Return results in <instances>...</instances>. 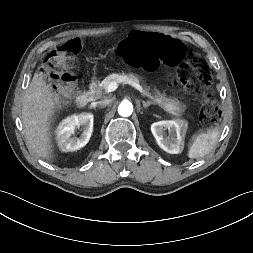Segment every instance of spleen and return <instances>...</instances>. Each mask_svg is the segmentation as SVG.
Here are the masks:
<instances>
[{
	"mask_svg": "<svg viewBox=\"0 0 253 253\" xmlns=\"http://www.w3.org/2000/svg\"><path fill=\"white\" fill-rule=\"evenodd\" d=\"M219 136L220 129L218 127L197 135L189 148L188 157L199 159L207 155L214 148Z\"/></svg>",
	"mask_w": 253,
	"mask_h": 253,
	"instance_id": "obj_1",
	"label": "spleen"
}]
</instances>
